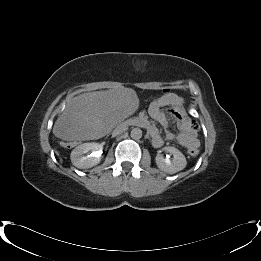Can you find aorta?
Wrapping results in <instances>:
<instances>
[{
  "mask_svg": "<svg viewBox=\"0 0 261 261\" xmlns=\"http://www.w3.org/2000/svg\"><path fill=\"white\" fill-rule=\"evenodd\" d=\"M130 136L134 140H139L142 137V130L140 128H133Z\"/></svg>",
  "mask_w": 261,
  "mask_h": 261,
  "instance_id": "obj_1",
  "label": "aorta"
}]
</instances>
